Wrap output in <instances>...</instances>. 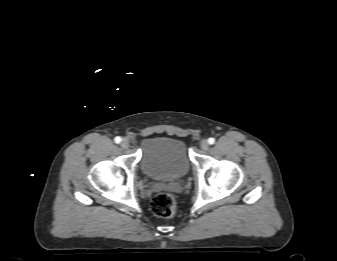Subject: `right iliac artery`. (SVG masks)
<instances>
[{
    "instance_id": "obj_1",
    "label": "right iliac artery",
    "mask_w": 337,
    "mask_h": 261,
    "mask_svg": "<svg viewBox=\"0 0 337 261\" xmlns=\"http://www.w3.org/2000/svg\"><path fill=\"white\" fill-rule=\"evenodd\" d=\"M121 140H122L121 137H115V139H114L115 143H120Z\"/></svg>"
}]
</instances>
